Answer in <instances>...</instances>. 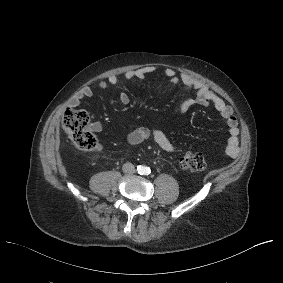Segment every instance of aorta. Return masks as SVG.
I'll return each mask as SVG.
<instances>
[{
    "label": "aorta",
    "instance_id": "762f6f07",
    "mask_svg": "<svg viewBox=\"0 0 283 283\" xmlns=\"http://www.w3.org/2000/svg\"><path fill=\"white\" fill-rule=\"evenodd\" d=\"M138 172H139L140 174H148V173H149V168L146 167V166H140V167L138 168Z\"/></svg>",
    "mask_w": 283,
    "mask_h": 283
}]
</instances>
